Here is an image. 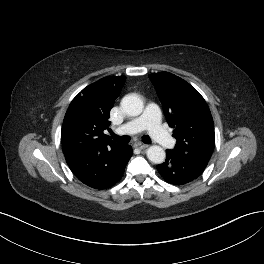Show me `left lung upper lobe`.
<instances>
[{"label":"left lung upper lobe","instance_id":"1","mask_svg":"<svg viewBox=\"0 0 264 264\" xmlns=\"http://www.w3.org/2000/svg\"><path fill=\"white\" fill-rule=\"evenodd\" d=\"M162 103L177 144L179 156L208 161L215 145L214 123L209 107L189 83L168 72L149 75Z\"/></svg>","mask_w":264,"mask_h":264}]
</instances>
